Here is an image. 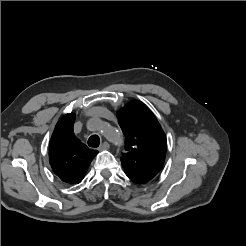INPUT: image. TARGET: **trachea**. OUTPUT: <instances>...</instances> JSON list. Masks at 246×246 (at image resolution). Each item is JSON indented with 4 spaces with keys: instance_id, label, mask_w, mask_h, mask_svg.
Wrapping results in <instances>:
<instances>
[{
    "instance_id": "3493384b",
    "label": "trachea",
    "mask_w": 246,
    "mask_h": 246,
    "mask_svg": "<svg viewBox=\"0 0 246 246\" xmlns=\"http://www.w3.org/2000/svg\"><path fill=\"white\" fill-rule=\"evenodd\" d=\"M100 144V138L98 135H92L89 139H88V145L90 147H98Z\"/></svg>"
}]
</instances>
